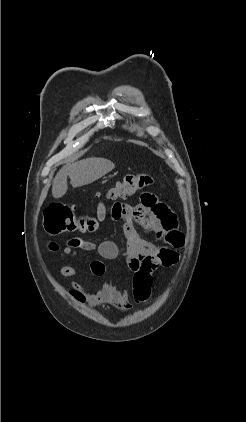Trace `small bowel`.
<instances>
[{
  "instance_id": "1",
  "label": "small bowel",
  "mask_w": 246,
  "mask_h": 422,
  "mask_svg": "<svg viewBox=\"0 0 246 422\" xmlns=\"http://www.w3.org/2000/svg\"><path fill=\"white\" fill-rule=\"evenodd\" d=\"M110 218L113 221H123V231L127 240V247L123 253L112 241L95 244L81 237H74L68 241L67 246L60 249V255L73 257L78 251H96L103 259L125 264L131 271H134L135 265L144 256L156 255L162 249L176 251L184 245V235L178 228L175 213L168 205L159 201L154 194H144L142 201L135 206L115 203L112 206ZM135 221L145 224L165 245L160 246L143 239L135 228ZM49 248L53 251L59 250L55 243H50ZM91 271L95 276H102L105 272L103 262L93 261ZM78 273V269L71 265H65L59 270L62 277H76ZM71 294L78 301L90 306L108 304L123 312L132 308V302L127 292L118 289L110 282L103 283L93 293L85 291L78 282H72Z\"/></svg>"
}]
</instances>
